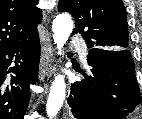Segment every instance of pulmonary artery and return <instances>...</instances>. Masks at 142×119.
I'll use <instances>...</instances> for the list:
<instances>
[{"label":"pulmonary artery","mask_w":142,"mask_h":119,"mask_svg":"<svg viewBox=\"0 0 142 119\" xmlns=\"http://www.w3.org/2000/svg\"><path fill=\"white\" fill-rule=\"evenodd\" d=\"M70 43L72 45H76L79 47V53H80V59L83 63H86L87 61V48L83 44L82 40L78 37H72L70 40Z\"/></svg>","instance_id":"obj_1"}]
</instances>
